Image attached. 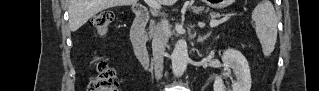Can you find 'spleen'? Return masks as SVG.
<instances>
[{"mask_svg":"<svg viewBox=\"0 0 319 91\" xmlns=\"http://www.w3.org/2000/svg\"><path fill=\"white\" fill-rule=\"evenodd\" d=\"M252 19L263 54L268 57L273 52L277 40L278 18L273 4L269 0L258 4L252 12Z\"/></svg>","mask_w":319,"mask_h":91,"instance_id":"obj_1","label":"spleen"}]
</instances>
